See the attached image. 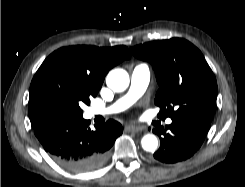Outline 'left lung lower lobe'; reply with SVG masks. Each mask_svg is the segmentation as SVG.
<instances>
[{
    "instance_id": "obj_1",
    "label": "left lung lower lobe",
    "mask_w": 245,
    "mask_h": 187,
    "mask_svg": "<svg viewBox=\"0 0 245 187\" xmlns=\"http://www.w3.org/2000/svg\"><path fill=\"white\" fill-rule=\"evenodd\" d=\"M210 123L204 119L172 120L165 128L153 129L161 141L154 159L173 164L190 158L202 145Z\"/></svg>"
}]
</instances>
